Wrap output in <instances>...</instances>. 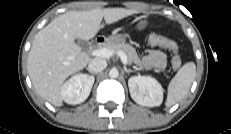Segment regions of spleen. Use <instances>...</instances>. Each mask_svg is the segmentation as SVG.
Wrapping results in <instances>:
<instances>
[{"label": "spleen", "mask_w": 231, "mask_h": 134, "mask_svg": "<svg viewBox=\"0 0 231 134\" xmlns=\"http://www.w3.org/2000/svg\"><path fill=\"white\" fill-rule=\"evenodd\" d=\"M196 76V65L193 62L184 64L168 85L167 107L180 102L189 92Z\"/></svg>", "instance_id": "1"}]
</instances>
